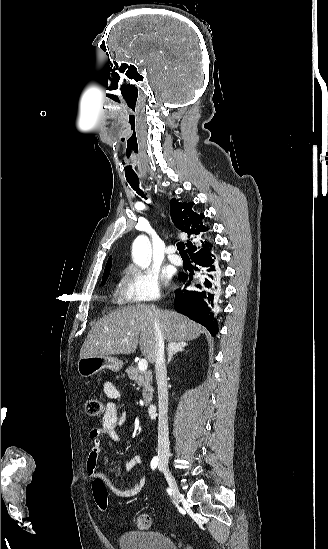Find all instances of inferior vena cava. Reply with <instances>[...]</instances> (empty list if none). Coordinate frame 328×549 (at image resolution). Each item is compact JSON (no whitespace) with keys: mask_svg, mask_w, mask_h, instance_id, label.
I'll list each match as a JSON object with an SVG mask.
<instances>
[{"mask_svg":"<svg viewBox=\"0 0 328 549\" xmlns=\"http://www.w3.org/2000/svg\"><path fill=\"white\" fill-rule=\"evenodd\" d=\"M155 335V371L158 391V457L162 459L168 455L169 435H168V391H167V371L164 357V339L159 327V323H154Z\"/></svg>","mask_w":328,"mask_h":549,"instance_id":"1","label":"inferior vena cava"}]
</instances>
